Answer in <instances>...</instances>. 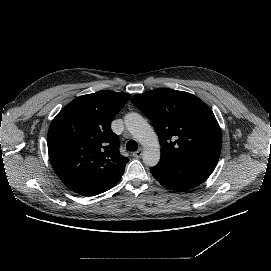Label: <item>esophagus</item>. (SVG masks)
<instances>
[{"instance_id":"esophagus-1","label":"esophagus","mask_w":271,"mask_h":271,"mask_svg":"<svg viewBox=\"0 0 271 271\" xmlns=\"http://www.w3.org/2000/svg\"><path fill=\"white\" fill-rule=\"evenodd\" d=\"M142 154H143V149L142 148H139L136 152L133 153V156L135 158H141L142 157Z\"/></svg>"}]
</instances>
